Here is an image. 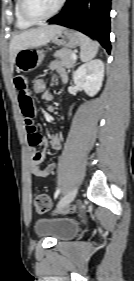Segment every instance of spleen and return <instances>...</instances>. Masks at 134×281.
<instances>
[{
    "instance_id": "spleen-1",
    "label": "spleen",
    "mask_w": 134,
    "mask_h": 281,
    "mask_svg": "<svg viewBox=\"0 0 134 281\" xmlns=\"http://www.w3.org/2000/svg\"><path fill=\"white\" fill-rule=\"evenodd\" d=\"M81 51L80 58L81 61L87 62L93 59L99 49V43L91 40L86 35L81 34Z\"/></svg>"
}]
</instances>
